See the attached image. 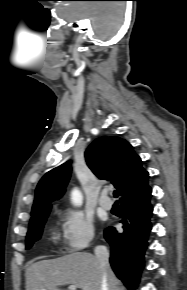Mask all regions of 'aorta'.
I'll return each instance as SVG.
<instances>
[{"label":"aorta","mask_w":187,"mask_h":290,"mask_svg":"<svg viewBox=\"0 0 187 290\" xmlns=\"http://www.w3.org/2000/svg\"><path fill=\"white\" fill-rule=\"evenodd\" d=\"M71 200L73 202L74 205L79 206L82 204V194L78 189H74L71 193Z\"/></svg>","instance_id":"1"}]
</instances>
